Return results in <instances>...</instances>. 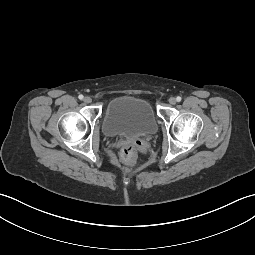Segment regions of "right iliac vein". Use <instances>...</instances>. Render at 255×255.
Instances as JSON below:
<instances>
[{
	"mask_svg": "<svg viewBox=\"0 0 255 255\" xmlns=\"http://www.w3.org/2000/svg\"><path fill=\"white\" fill-rule=\"evenodd\" d=\"M84 102L85 103H91L92 102V99H91V97H89V96H86L85 98H84Z\"/></svg>",
	"mask_w": 255,
	"mask_h": 255,
	"instance_id": "right-iliac-vein-1",
	"label": "right iliac vein"
}]
</instances>
